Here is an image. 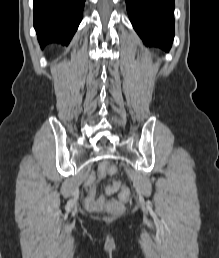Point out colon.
<instances>
[{
	"mask_svg": "<svg viewBox=\"0 0 219 258\" xmlns=\"http://www.w3.org/2000/svg\"><path fill=\"white\" fill-rule=\"evenodd\" d=\"M116 172V165L109 161H104L99 166V178H103L106 175H114L116 174ZM119 198L122 202L130 200V190L125 186L121 187L119 192ZM86 206L91 210L106 209L111 213H120L123 208L122 203L120 201L107 199L103 195L96 197L94 187H92V189L89 192V195L86 198Z\"/></svg>",
	"mask_w": 219,
	"mask_h": 258,
	"instance_id": "obj_1",
	"label": "colon"
}]
</instances>
